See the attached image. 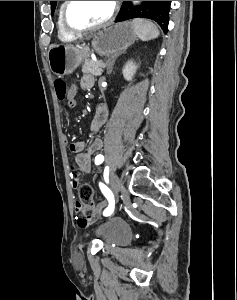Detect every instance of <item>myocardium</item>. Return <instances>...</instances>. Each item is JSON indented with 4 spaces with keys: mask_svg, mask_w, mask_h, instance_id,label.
<instances>
[{
    "mask_svg": "<svg viewBox=\"0 0 237 300\" xmlns=\"http://www.w3.org/2000/svg\"><path fill=\"white\" fill-rule=\"evenodd\" d=\"M72 3H73V1H65V4L62 9V14H61L62 25H63L64 29L71 35H79V34H82L85 32L97 31V30H101V29L108 27L109 25H111L114 22L116 15H117V11H118V3H117V1H113L112 2L113 3L112 11H111L109 17L105 21H103L97 25H93V26H89V27L74 28L69 24L68 18H67L68 11H69V8Z\"/></svg>",
    "mask_w": 237,
    "mask_h": 300,
    "instance_id": "myocardium-1",
    "label": "myocardium"
}]
</instances>
